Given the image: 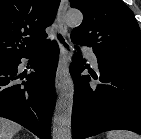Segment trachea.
Segmentation results:
<instances>
[{"label": "trachea", "instance_id": "trachea-1", "mask_svg": "<svg viewBox=\"0 0 141 139\" xmlns=\"http://www.w3.org/2000/svg\"><path fill=\"white\" fill-rule=\"evenodd\" d=\"M57 37H58V39L61 41V43H63L64 46L67 47V44H65V41H64L63 37H62L60 34L57 35Z\"/></svg>", "mask_w": 141, "mask_h": 139}]
</instances>
